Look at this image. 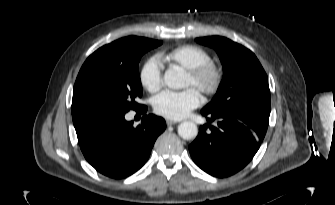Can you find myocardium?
<instances>
[{
	"label": "myocardium",
	"mask_w": 335,
	"mask_h": 205,
	"mask_svg": "<svg viewBox=\"0 0 335 205\" xmlns=\"http://www.w3.org/2000/svg\"><path fill=\"white\" fill-rule=\"evenodd\" d=\"M187 75L193 86L206 96L217 93L223 81L222 68L211 60L188 70Z\"/></svg>",
	"instance_id": "obj_1"
}]
</instances>
